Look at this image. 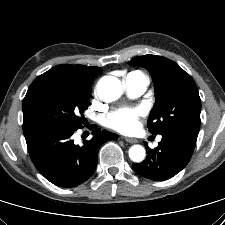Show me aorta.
I'll list each match as a JSON object with an SVG mask.
<instances>
[{
  "label": "aorta",
  "instance_id": "obj_1",
  "mask_svg": "<svg viewBox=\"0 0 225 225\" xmlns=\"http://www.w3.org/2000/svg\"><path fill=\"white\" fill-rule=\"evenodd\" d=\"M97 95L104 102H113L123 94L122 82L114 76H104L97 83ZM146 156V150L141 145H133L129 149V157L135 163H141Z\"/></svg>",
  "mask_w": 225,
  "mask_h": 225
}]
</instances>
